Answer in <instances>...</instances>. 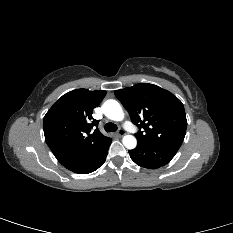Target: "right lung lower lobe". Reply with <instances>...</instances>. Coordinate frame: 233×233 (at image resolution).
<instances>
[{
  "instance_id": "1",
  "label": "right lung lower lobe",
  "mask_w": 233,
  "mask_h": 233,
  "mask_svg": "<svg viewBox=\"0 0 233 233\" xmlns=\"http://www.w3.org/2000/svg\"><path fill=\"white\" fill-rule=\"evenodd\" d=\"M111 141L112 140L109 139V141L101 149H99L98 152L83 167L77 170L76 173H91L97 170L101 165H103L106 160L108 148L111 144Z\"/></svg>"
}]
</instances>
